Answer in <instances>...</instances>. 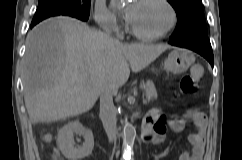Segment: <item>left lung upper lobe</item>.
<instances>
[{
	"mask_svg": "<svg viewBox=\"0 0 242 160\" xmlns=\"http://www.w3.org/2000/svg\"><path fill=\"white\" fill-rule=\"evenodd\" d=\"M177 14V27L172 39L207 35V26L201 0H167Z\"/></svg>",
	"mask_w": 242,
	"mask_h": 160,
	"instance_id": "1",
	"label": "left lung upper lobe"
}]
</instances>
